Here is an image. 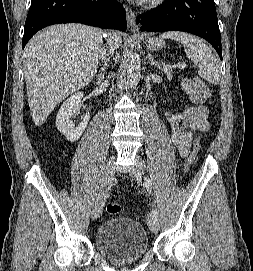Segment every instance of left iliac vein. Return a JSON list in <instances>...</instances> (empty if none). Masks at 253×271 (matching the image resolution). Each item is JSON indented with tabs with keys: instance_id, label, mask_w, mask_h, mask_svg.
Returning a JSON list of instances; mask_svg holds the SVG:
<instances>
[{
	"instance_id": "left-iliac-vein-1",
	"label": "left iliac vein",
	"mask_w": 253,
	"mask_h": 271,
	"mask_svg": "<svg viewBox=\"0 0 253 271\" xmlns=\"http://www.w3.org/2000/svg\"><path fill=\"white\" fill-rule=\"evenodd\" d=\"M143 167H144V163L142 162L141 158L137 156L136 166L131 167L129 170L130 176L136 180H141L143 178V172H142ZM147 223H148L149 229L153 233H157L159 231L160 227H159V222H158L157 217L150 214L148 216Z\"/></svg>"
}]
</instances>
